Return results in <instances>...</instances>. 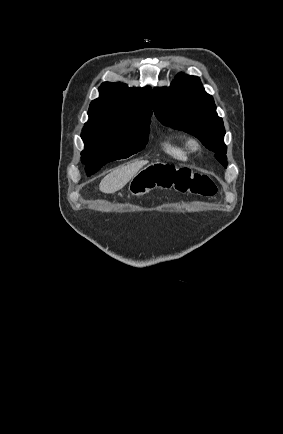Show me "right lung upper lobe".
I'll list each match as a JSON object with an SVG mask.
<instances>
[{"label":"right lung upper lobe","mask_w":283,"mask_h":434,"mask_svg":"<svg viewBox=\"0 0 283 434\" xmlns=\"http://www.w3.org/2000/svg\"><path fill=\"white\" fill-rule=\"evenodd\" d=\"M100 97L89 106V120L83 128H112L151 122L152 89L129 88L126 84L104 82Z\"/></svg>","instance_id":"obj_1"}]
</instances>
